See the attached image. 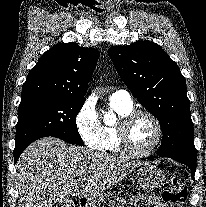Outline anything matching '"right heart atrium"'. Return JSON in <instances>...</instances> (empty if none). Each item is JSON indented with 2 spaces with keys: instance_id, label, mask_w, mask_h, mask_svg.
Wrapping results in <instances>:
<instances>
[{
  "instance_id": "right-heart-atrium-1",
  "label": "right heart atrium",
  "mask_w": 206,
  "mask_h": 207,
  "mask_svg": "<svg viewBox=\"0 0 206 207\" xmlns=\"http://www.w3.org/2000/svg\"><path fill=\"white\" fill-rule=\"evenodd\" d=\"M75 126L83 142L92 149L103 145L102 124L91 100H86L75 115Z\"/></svg>"
}]
</instances>
